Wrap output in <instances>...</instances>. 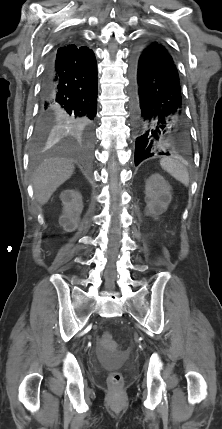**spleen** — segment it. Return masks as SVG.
Wrapping results in <instances>:
<instances>
[{
    "instance_id": "spleen-1",
    "label": "spleen",
    "mask_w": 222,
    "mask_h": 429,
    "mask_svg": "<svg viewBox=\"0 0 222 429\" xmlns=\"http://www.w3.org/2000/svg\"><path fill=\"white\" fill-rule=\"evenodd\" d=\"M161 167L170 173L176 180L180 181L185 186L189 184V173L186 167L177 160L171 158H162L160 160Z\"/></svg>"
}]
</instances>
